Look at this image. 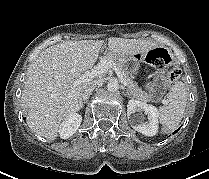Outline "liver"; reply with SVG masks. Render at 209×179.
Wrapping results in <instances>:
<instances>
[{"label":"liver","mask_w":209,"mask_h":179,"mask_svg":"<svg viewBox=\"0 0 209 179\" xmlns=\"http://www.w3.org/2000/svg\"><path fill=\"white\" fill-rule=\"evenodd\" d=\"M103 40L66 41L40 53L27 70L21 96L22 107L28 110V126L48 140L58 136L61 122L82 107V94L93 82L76 83L93 67ZM155 44L137 39L110 37L108 54L115 57L147 53Z\"/></svg>","instance_id":"liver-1"}]
</instances>
